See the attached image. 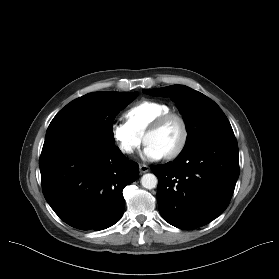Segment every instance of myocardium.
Wrapping results in <instances>:
<instances>
[{"label": "myocardium", "instance_id": "1", "mask_svg": "<svg viewBox=\"0 0 279 279\" xmlns=\"http://www.w3.org/2000/svg\"><path fill=\"white\" fill-rule=\"evenodd\" d=\"M171 119H175L179 122V124L181 126V139L174 150H172L168 154L164 155V158L168 159V160L178 157L187 146V143L189 140V127H188V123H187L186 119L184 118V116H182L179 113L172 112V111L164 113V114L160 115L159 117H157L150 124V126L146 129V131L144 133V137H145V135H147L148 133L158 131L167 121H169ZM144 142H145V140H144Z\"/></svg>", "mask_w": 279, "mask_h": 279}]
</instances>
